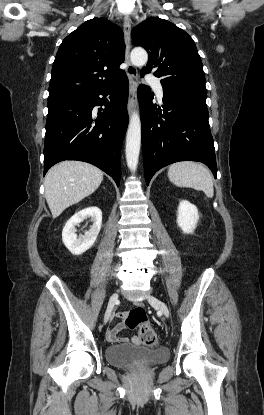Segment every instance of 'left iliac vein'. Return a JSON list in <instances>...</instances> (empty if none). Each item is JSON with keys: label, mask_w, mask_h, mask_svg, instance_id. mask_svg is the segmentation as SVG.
I'll use <instances>...</instances> for the list:
<instances>
[{"label": "left iliac vein", "mask_w": 264, "mask_h": 415, "mask_svg": "<svg viewBox=\"0 0 264 415\" xmlns=\"http://www.w3.org/2000/svg\"><path fill=\"white\" fill-rule=\"evenodd\" d=\"M148 301L150 302V304L157 307L164 314L165 317L168 318L170 316V311L163 301L152 295L148 296Z\"/></svg>", "instance_id": "left-iliac-vein-1"}]
</instances>
